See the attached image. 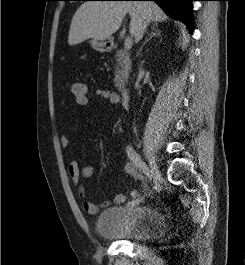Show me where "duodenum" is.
Listing matches in <instances>:
<instances>
[{
  "instance_id": "410a0bca",
  "label": "duodenum",
  "mask_w": 245,
  "mask_h": 265,
  "mask_svg": "<svg viewBox=\"0 0 245 265\" xmlns=\"http://www.w3.org/2000/svg\"><path fill=\"white\" fill-rule=\"evenodd\" d=\"M121 96H122V102H123V104L126 107L130 106V102H131V94H130V91L128 89H122L121 90Z\"/></svg>"
}]
</instances>
